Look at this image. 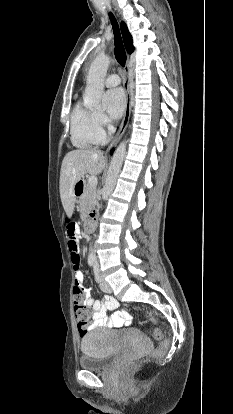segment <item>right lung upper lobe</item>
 <instances>
[{"instance_id":"right-lung-upper-lobe-1","label":"right lung upper lobe","mask_w":233,"mask_h":414,"mask_svg":"<svg viewBox=\"0 0 233 414\" xmlns=\"http://www.w3.org/2000/svg\"><path fill=\"white\" fill-rule=\"evenodd\" d=\"M120 27H121V32H122V35H123V41H124V44H125V48H126L127 52L129 54H131L134 51L132 36L129 33L128 28H127V26L124 22H121Z\"/></svg>"}]
</instances>
